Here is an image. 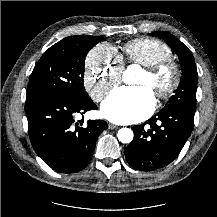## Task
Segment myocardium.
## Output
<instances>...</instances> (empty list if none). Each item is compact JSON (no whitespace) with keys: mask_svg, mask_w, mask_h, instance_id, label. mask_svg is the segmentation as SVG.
I'll use <instances>...</instances> for the list:
<instances>
[{"mask_svg":"<svg viewBox=\"0 0 217 217\" xmlns=\"http://www.w3.org/2000/svg\"><path fill=\"white\" fill-rule=\"evenodd\" d=\"M144 72L150 77L153 93L159 100L170 98L180 84L181 71L171 58L163 59L152 66L145 67ZM164 77L167 79L166 84L161 83Z\"/></svg>","mask_w":217,"mask_h":217,"instance_id":"1","label":"myocardium"}]
</instances>
